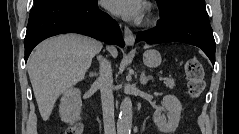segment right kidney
Here are the masks:
<instances>
[{"label": "right kidney", "instance_id": "1", "mask_svg": "<svg viewBox=\"0 0 239 134\" xmlns=\"http://www.w3.org/2000/svg\"><path fill=\"white\" fill-rule=\"evenodd\" d=\"M81 108V91L77 88L66 90L59 105L61 120L69 124L75 123L80 118Z\"/></svg>", "mask_w": 239, "mask_h": 134}]
</instances>
